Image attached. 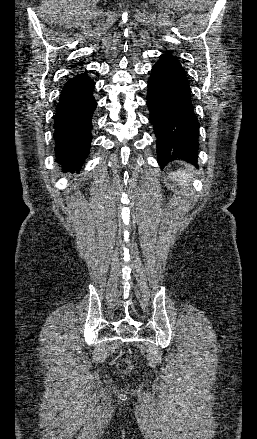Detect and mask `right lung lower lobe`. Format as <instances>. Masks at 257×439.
Wrapping results in <instances>:
<instances>
[{
	"label": "right lung lower lobe",
	"instance_id": "1",
	"mask_svg": "<svg viewBox=\"0 0 257 439\" xmlns=\"http://www.w3.org/2000/svg\"><path fill=\"white\" fill-rule=\"evenodd\" d=\"M95 83L86 73L71 78L64 86L55 115V155L64 171H79L90 153Z\"/></svg>",
	"mask_w": 257,
	"mask_h": 439
}]
</instances>
